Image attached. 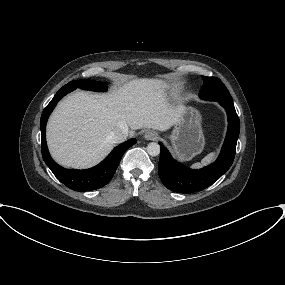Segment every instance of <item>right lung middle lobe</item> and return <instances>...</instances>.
Here are the masks:
<instances>
[{
	"label": "right lung middle lobe",
	"mask_w": 285,
	"mask_h": 285,
	"mask_svg": "<svg viewBox=\"0 0 285 285\" xmlns=\"http://www.w3.org/2000/svg\"><path fill=\"white\" fill-rule=\"evenodd\" d=\"M63 88H70L72 91L76 88H81L84 90H92V91H106L107 90L106 83L87 80V79L71 81L65 86H63Z\"/></svg>",
	"instance_id": "dd1d6c3e"
}]
</instances>
